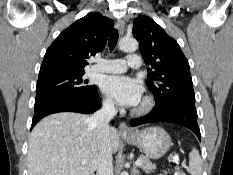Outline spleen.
Instances as JSON below:
<instances>
[{"instance_id":"obj_1","label":"spleen","mask_w":233,"mask_h":175,"mask_svg":"<svg viewBox=\"0 0 233 175\" xmlns=\"http://www.w3.org/2000/svg\"><path fill=\"white\" fill-rule=\"evenodd\" d=\"M189 167L191 175H202V158L196 148L189 154Z\"/></svg>"}]
</instances>
